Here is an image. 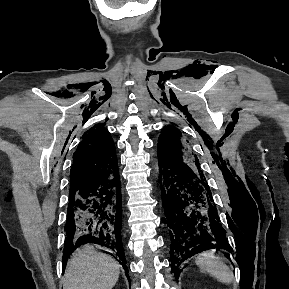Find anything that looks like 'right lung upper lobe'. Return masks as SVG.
Segmentation results:
<instances>
[{
    "instance_id": "1",
    "label": "right lung upper lobe",
    "mask_w": 289,
    "mask_h": 289,
    "mask_svg": "<svg viewBox=\"0 0 289 289\" xmlns=\"http://www.w3.org/2000/svg\"><path fill=\"white\" fill-rule=\"evenodd\" d=\"M118 172L115 145L108 131L92 127L73 154L70 191L82 188L104 175Z\"/></svg>"
}]
</instances>
